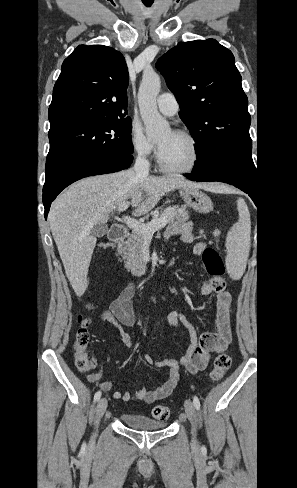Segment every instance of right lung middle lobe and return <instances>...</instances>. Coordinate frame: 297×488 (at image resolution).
Wrapping results in <instances>:
<instances>
[{"mask_svg": "<svg viewBox=\"0 0 297 488\" xmlns=\"http://www.w3.org/2000/svg\"><path fill=\"white\" fill-rule=\"evenodd\" d=\"M131 129V118L127 117L77 124L49 133L45 181L84 161L131 155Z\"/></svg>", "mask_w": 297, "mask_h": 488, "instance_id": "dd1d6c3e", "label": "right lung middle lobe"}]
</instances>
